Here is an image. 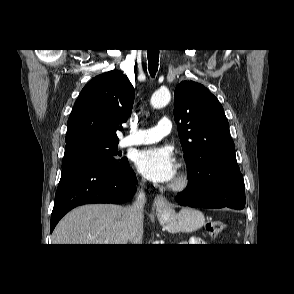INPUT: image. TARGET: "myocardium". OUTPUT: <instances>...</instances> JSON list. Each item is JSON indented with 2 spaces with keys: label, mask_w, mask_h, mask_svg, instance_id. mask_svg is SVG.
I'll use <instances>...</instances> for the list:
<instances>
[{
  "label": "myocardium",
  "mask_w": 294,
  "mask_h": 294,
  "mask_svg": "<svg viewBox=\"0 0 294 294\" xmlns=\"http://www.w3.org/2000/svg\"><path fill=\"white\" fill-rule=\"evenodd\" d=\"M190 184V178L186 171L182 170L178 173L176 178L173 180V182L170 184V190L173 192H182Z\"/></svg>",
  "instance_id": "1"
}]
</instances>
